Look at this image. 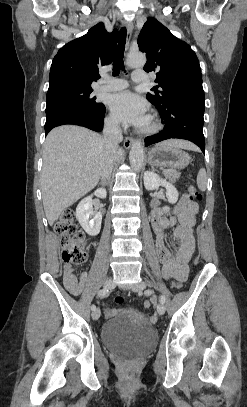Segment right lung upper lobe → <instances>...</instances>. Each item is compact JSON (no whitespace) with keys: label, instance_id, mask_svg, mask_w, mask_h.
Segmentation results:
<instances>
[{"label":"right lung upper lobe","instance_id":"right-lung-upper-lobe-1","mask_svg":"<svg viewBox=\"0 0 247 407\" xmlns=\"http://www.w3.org/2000/svg\"><path fill=\"white\" fill-rule=\"evenodd\" d=\"M117 43V30L108 33L103 23L92 27L84 36L69 42L54 57L49 89L91 87L98 79L99 67L110 64Z\"/></svg>","mask_w":247,"mask_h":407}]
</instances>
